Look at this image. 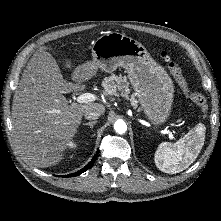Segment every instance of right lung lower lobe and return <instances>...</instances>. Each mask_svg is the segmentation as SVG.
Returning a JSON list of instances; mask_svg holds the SVG:
<instances>
[{
	"instance_id": "1",
	"label": "right lung lower lobe",
	"mask_w": 221,
	"mask_h": 221,
	"mask_svg": "<svg viewBox=\"0 0 221 221\" xmlns=\"http://www.w3.org/2000/svg\"><path fill=\"white\" fill-rule=\"evenodd\" d=\"M98 153H99V149L97 150L96 154L94 155L92 160L89 162V164L86 165L84 168H82L81 170H79V171H77L75 173L64 175L62 177H75V176H78V175L82 174L83 172H85L86 170H88L89 168H91L93 166L94 161L96 160V158L98 156Z\"/></svg>"
}]
</instances>
